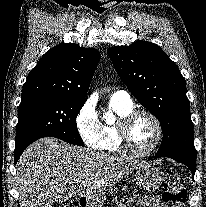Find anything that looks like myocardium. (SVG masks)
<instances>
[{"mask_svg": "<svg viewBox=\"0 0 206 207\" xmlns=\"http://www.w3.org/2000/svg\"><path fill=\"white\" fill-rule=\"evenodd\" d=\"M141 116L148 117L156 128V138L153 144L148 149L143 151L136 150L132 147L128 134L132 123ZM117 135L120 148L123 152H126L134 157H146L156 151L159 147L163 139L164 131L160 120L152 112L147 110H133L118 123Z\"/></svg>", "mask_w": 206, "mask_h": 207, "instance_id": "1", "label": "myocardium"}]
</instances>
